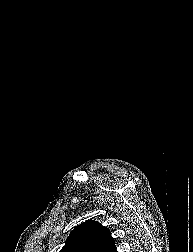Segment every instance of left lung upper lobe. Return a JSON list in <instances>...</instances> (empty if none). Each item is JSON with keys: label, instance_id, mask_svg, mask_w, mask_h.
Returning <instances> with one entry per match:
<instances>
[{"label": "left lung upper lobe", "instance_id": "1", "mask_svg": "<svg viewBox=\"0 0 193 252\" xmlns=\"http://www.w3.org/2000/svg\"><path fill=\"white\" fill-rule=\"evenodd\" d=\"M60 252H117L110 231L88 220L72 230Z\"/></svg>", "mask_w": 193, "mask_h": 252}]
</instances>
